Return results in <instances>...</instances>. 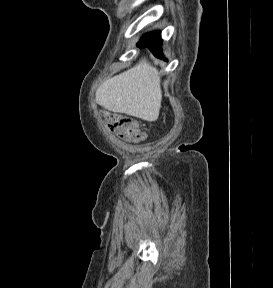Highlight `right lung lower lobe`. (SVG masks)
I'll list each match as a JSON object with an SVG mask.
<instances>
[{"instance_id": "right-lung-lower-lobe-1", "label": "right lung lower lobe", "mask_w": 273, "mask_h": 288, "mask_svg": "<svg viewBox=\"0 0 273 288\" xmlns=\"http://www.w3.org/2000/svg\"><path fill=\"white\" fill-rule=\"evenodd\" d=\"M161 35L159 31L150 32L145 34L141 40L138 42L137 46L140 48L148 47L155 56L163 58L161 52Z\"/></svg>"}]
</instances>
